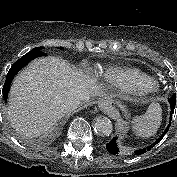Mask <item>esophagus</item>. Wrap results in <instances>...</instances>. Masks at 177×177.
I'll return each mask as SVG.
<instances>
[{
    "mask_svg": "<svg viewBox=\"0 0 177 177\" xmlns=\"http://www.w3.org/2000/svg\"><path fill=\"white\" fill-rule=\"evenodd\" d=\"M110 102H108V100H102L100 103H99V107L100 108H105L106 106H108Z\"/></svg>",
    "mask_w": 177,
    "mask_h": 177,
    "instance_id": "1",
    "label": "esophagus"
}]
</instances>
